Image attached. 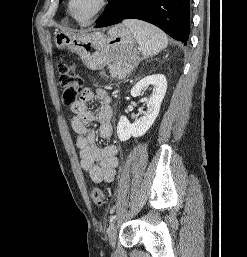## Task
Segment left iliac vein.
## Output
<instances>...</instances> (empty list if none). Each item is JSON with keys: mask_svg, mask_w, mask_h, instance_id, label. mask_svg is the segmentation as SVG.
I'll return each mask as SVG.
<instances>
[{"mask_svg": "<svg viewBox=\"0 0 247 257\" xmlns=\"http://www.w3.org/2000/svg\"><path fill=\"white\" fill-rule=\"evenodd\" d=\"M116 233H117L116 224L113 223V224L111 225V227L109 228V231H108V240H109V244H110L112 247L115 246Z\"/></svg>", "mask_w": 247, "mask_h": 257, "instance_id": "left-iliac-vein-1", "label": "left iliac vein"}]
</instances>
